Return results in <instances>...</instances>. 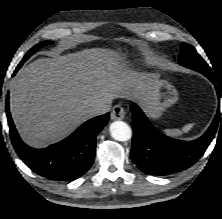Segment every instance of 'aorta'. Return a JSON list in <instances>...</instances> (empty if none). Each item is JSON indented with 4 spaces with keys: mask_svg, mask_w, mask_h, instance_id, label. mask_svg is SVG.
<instances>
[{
    "mask_svg": "<svg viewBox=\"0 0 222 219\" xmlns=\"http://www.w3.org/2000/svg\"><path fill=\"white\" fill-rule=\"evenodd\" d=\"M110 134L117 141H127L132 137V130L123 121H114L110 125Z\"/></svg>",
    "mask_w": 222,
    "mask_h": 219,
    "instance_id": "1",
    "label": "aorta"
}]
</instances>
